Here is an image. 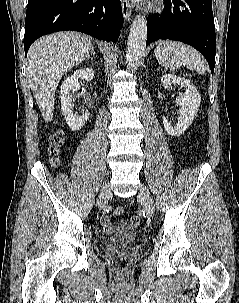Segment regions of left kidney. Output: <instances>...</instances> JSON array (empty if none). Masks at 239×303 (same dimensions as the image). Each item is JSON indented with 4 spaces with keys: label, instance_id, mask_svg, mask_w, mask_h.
Here are the masks:
<instances>
[{
    "label": "left kidney",
    "instance_id": "5707ae66",
    "mask_svg": "<svg viewBox=\"0 0 239 303\" xmlns=\"http://www.w3.org/2000/svg\"><path fill=\"white\" fill-rule=\"evenodd\" d=\"M164 89H169L172 84H178L186 89L184 95L177 102L181 106L178 122L172 125L166 117H163V125L168 134L180 136L193 122L201 104L200 94L195 86L187 79L174 74H166L161 78Z\"/></svg>",
    "mask_w": 239,
    "mask_h": 303
}]
</instances>
